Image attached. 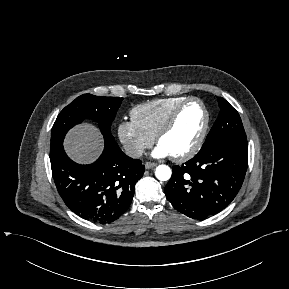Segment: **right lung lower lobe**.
I'll return each instance as SVG.
<instances>
[{
    "mask_svg": "<svg viewBox=\"0 0 289 289\" xmlns=\"http://www.w3.org/2000/svg\"><path fill=\"white\" fill-rule=\"evenodd\" d=\"M104 140V151L93 164L73 162L63 146L50 156V161L65 204L83 219L110 223L130 206L135 183L143 176L145 166L126 156L113 139Z\"/></svg>",
    "mask_w": 289,
    "mask_h": 289,
    "instance_id": "right-lung-lower-lobe-1",
    "label": "right lung lower lobe"
}]
</instances>
